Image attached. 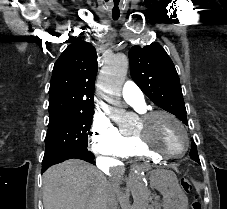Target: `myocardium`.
<instances>
[{
    "label": "myocardium",
    "instance_id": "f54148a6",
    "mask_svg": "<svg viewBox=\"0 0 227 209\" xmlns=\"http://www.w3.org/2000/svg\"><path fill=\"white\" fill-rule=\"evenodd\" d=\"M156 115H165V116L169 117L170 119H172L180 127V129L182 130L184 137H185V145L182 148V150H180L179 152H174V153H163V152L157 151V150L153 149L147 143V141H145L138 133H134V135H133L135 141L143 148V150L147 154L157 157L159 159H173V158H178V157L185 155L187 153V151L189 150L190 139H189V134H188V131H187L184 123L175 114H173L170 111L165 110V109H151V110L144 111L140 116V122H145V121L153 118Z\"/></svg>",
    "mask_w": 227,
    "mask_h": 209
}]
</instances>
